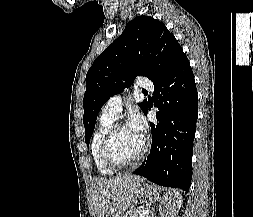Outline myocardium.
I'll return each mask as SVG.
<instances>
[{
  "label": "myocardium",
  "instance_id": "obj_1",
  "mask_svg": "<svg viewBox=\"0 0 253 217\" xmlns=\"http://www.w3.org/2000/svg\"><path fill=\"white\" fill-rule=\"evenodd\" d=\"M126 125L127 124L124 122H119V121L114 122L110 126V128L108 129L106 134L104 135V137L101 141V144H100L101 160L107 167H109L113 170H121V169L135 166L137 163L140 162V160L144 157V155L147 151L148 142H147V138L144 137L142 148L134 159H132L131 161H128V162H120V161L116 160L115 158H113V156L110 153L111 141H112L113 137L115 136V134L117 133V131L121 127L126 126Z\"/></svg>",
  "mask_w": 253,
  "mask_h": 217
}]
</instances>
